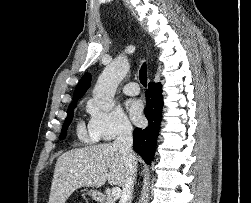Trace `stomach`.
I'll return each mask as SVG.
<instances>
[{
  "mask_svg": "<svg viewBox=\"0 0 251 203\" xmlns=\"http://www.w3.org/2000/svg\"><path fill=\"white\" fill-rule=\"evenodd\" d=\"M81 192H82V195L89 194V195H91L92 197H95V196L97 195V192L94 191V190L88 191V190L84 189V190H81Z\"/></svg>",
  "mask_w": 251,
  "mask_h": 203,
  "instance_id": "1",
  "label": "stomach"
}]
</instances>
